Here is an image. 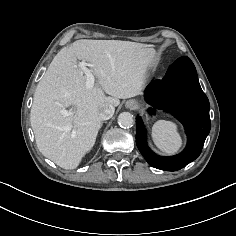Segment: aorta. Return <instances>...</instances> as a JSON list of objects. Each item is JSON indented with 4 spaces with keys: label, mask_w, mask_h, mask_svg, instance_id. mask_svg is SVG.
<instances>
[{
    "label": "aorta",
    "mask_w": 236,
    "mask_h": 236,
    "mask_svg": "<svg viewBox=\"0 0 236 236\" xmlns=\"http://www.w3.org/2000/svg\"><path fill=\"white\" fill-rule=\"evenodd\" d=\"M118 124L123 128H130L134 124L133 115L129 112H122L118 116Z\"/></svg>",
    "instance_id": "762f6f07"
}]
</instances>
